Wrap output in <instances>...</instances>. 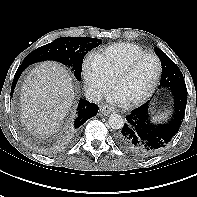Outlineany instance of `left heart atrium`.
Here are the masks:
<instances>
[{
    "instance_id": "obj_1",
    "label": "left heart atrium",
    "mask_w": 197,
    "mask_h": 197,
    "mask_svg": "<svg viewBox=\"0 0 197 197\" xmlns=\"http://www.w3.org/2000/svg\"><path fill=\"white\" fill-rule=\"evenodd\" d=\"M114 99L116 101L123 102V100L120 98V96L117 93L114 94Z\"/></svg>"
}]
</instances>
